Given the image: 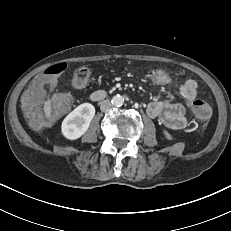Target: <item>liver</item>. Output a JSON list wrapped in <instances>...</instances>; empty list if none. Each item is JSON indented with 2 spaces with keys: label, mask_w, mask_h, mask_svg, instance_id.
<instances>
[{
  "label": "liver",
  "mask_w": 231,
  "mask_h": 231,
  "mask_svg": "<svg viewBox=\"0 0 231 231\" xmlns=\"http://www.w3.org/2000/svg\"><path fill=\"white\" fill-rule=\"evenodd\" d=\"M43 111H44L46 119L50 120L51 119V113H52V103H51L50 99H48L44 102Z\"/></svg>",
  "instance_id": "liver-1"
}]
</instances>
